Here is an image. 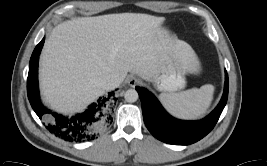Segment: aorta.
<instances>
[{"mask_svg":"<svg viewBox=\"0 0 267 166\" xmlns=\"http://www.w3.org/2000/svg\"><path fill=\"white\" fill-rule=\"evenodd\" d=\"M138 97V92L135 89H128L124 94L125 100L129 103L136 102Z\"/></svg>","mask_w":267,"mask_h":166,"instance_id":"762f6f07","label":"aorta"}]
</instances>
